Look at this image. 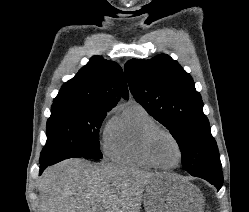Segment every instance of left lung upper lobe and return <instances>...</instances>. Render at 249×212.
<instances>
[{
    "mask_svg": "<svg viewBox=\"0 0 249 212\" xmlns=\"http://www.w3.org/2000/svg\"><path fill=\"white\" fill-rule=\"evenodd\" d=\"M124 69L135 100L177 141L183 169L192 175L221 168L201 95L178 62L159 54L149 60H129Z\"/></svg>",
    "mask_w": 249,
    "mask_h": 212,
    "instance_id": "left-lung-upper-lobe-1",
    "label": "left lung upper lobe"
}]
</instances>
